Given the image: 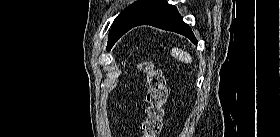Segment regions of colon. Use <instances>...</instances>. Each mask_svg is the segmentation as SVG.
Returning a JSON list of instances; mask_svg holds the SVG:
<instances>
[{"label": "colon", "mask_w": 280, "mask_h": 137, "mask_svg": "<svg viewBox=\"0 0 280 137\" xmlns=\"http://www.w3.org/2000/svg\"><path fill=\"white\" fill-rule=\"evenodd\" d=\"M146 76L147 107L143 122V137H158L162 128L163 107L167 98V88L163 72L151 61H143L138 65Z\"/></svg>", "instance_id": "obj_1"}]
</instances>
